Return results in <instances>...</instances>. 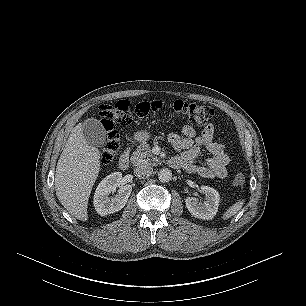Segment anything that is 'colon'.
I'll return each mask as SVG.
<instances>
[{
    "label": "colon",
    "instance_id": "5ec220e1",
    "mask_svg": "<svg viewBox=\"0 0 306 306\" xmlns=\"http://www.w3.org/2000/svg\"><path fill=\"white\" fill-rule=\"evenodd\" d=\"M169 111L186 119L196 125L204 124L211 120L214 111L211 107L188 103L177 100L171 103L152 102L139 103L131 107L128 102L122 101L114 106L102 105L100 108L101 124L106 133V140L100 151L102 164L108 165L119 149L120 140L116 125H129L135 118H143L150 112ZM245 183V176L242 173L235 175L233 184L242 186Z\"/></svg>",
    "mask_w": 306,
    "mask_h": 306
}]
</instances>
